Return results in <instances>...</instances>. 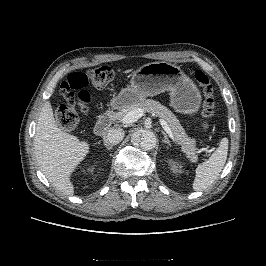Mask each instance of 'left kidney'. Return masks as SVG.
<instances>
[{"mask_svg":"<svg viewBox=\"0 0 266 266\" xmlns=\"http://www.w3.org/2000/svg\"><path fill=\"white\" fill-rule=\"evenodd\" d=\"M172 170L176 171L177 170V166L172 162Z\"/></svg>","mask_w":266,"mask_h":266,"instance_id":"left-kidney-1","label":"left kidney"}]
</instances>
